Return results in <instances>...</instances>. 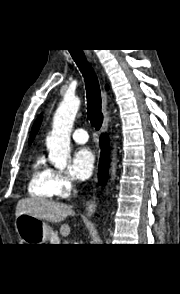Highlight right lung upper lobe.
Wrapping results in <instances>:
<instances>
[{"label":"right lung upper lobe","mask_w":180,"mask_h":294,"mask_svg":"<svg viewBox=\"0 0 180 294\" xmlns=\"http://www.w3.org/2000/svg\"><path fill=\"white\" fill-rule=\"evenodd\" d=\"M41 121H42V115H39V117L37 118V120L35 121V123L33 125L32 131H31V134L29 137V144H31L32 140L34 139V137L40 127Z\"/></svg>","instance_id":"1"}]
</instances>
